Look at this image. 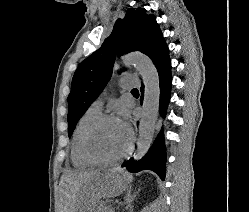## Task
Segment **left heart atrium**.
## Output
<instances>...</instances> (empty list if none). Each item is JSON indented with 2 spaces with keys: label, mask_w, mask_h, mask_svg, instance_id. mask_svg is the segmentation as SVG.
<instances>
[{
  "label": "left heart atrium",
  "mask_w": 249,
  "mask_h": 212,
  "mask_svg": "<svg viewBox=\"0 0 249 212\" xmlns=\"http://www.w3.org/2000/svg\"><path fill=\"white\" fill-rule=\"evenodd\" d=\"M124 128L126 129V131L129 133V128L126 124H123Z\"/></svg>",
  "instance_id": "left-heart-atrium-1"
}]
</instances>
